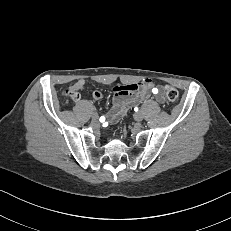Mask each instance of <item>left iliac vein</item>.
I'll return each instance as SVG.
<instances>
[{
  "label": "left iliac vein",
  "instance_id": "left-iliac-vein-1",
  "mask_svg": "<svg viewBox=\"0 0 231 231\" xmlns=\"http://www.w3.org/2000/svg\"><path fill=\"white\" fill-rule=\"evenodd\" d=\"M134 119L137 122H141L143 120V114L141 112H136L134 114Z\"/></svg>",
  "mask_w": 231,
  "mask_h": 231
}]
</instances>
